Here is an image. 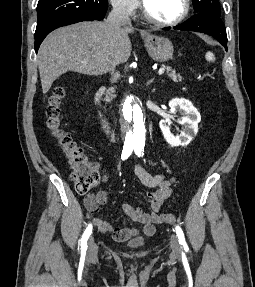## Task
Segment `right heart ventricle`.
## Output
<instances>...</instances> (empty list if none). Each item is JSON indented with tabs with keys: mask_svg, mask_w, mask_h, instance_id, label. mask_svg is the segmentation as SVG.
Masks as SVG:
<instances>
[{
	"mask_svg": "<svg viewBox=\"0 0 255 287\" xmlns=\"http://www.w3.org/2000/svg\"><path fill=\"white\" fill-rule=\"evenodd\" d=\"M130 33H142V32H130ZM137 39H145V38H137ZM137 48H146V47H137ZM164 48H169V47H164Z\"/></svg>",
	"mask_w": 255,
	"mask_h": 287,
	"instance_id": "1",
	"label": "right heart ventricle"
}]
</instances>
